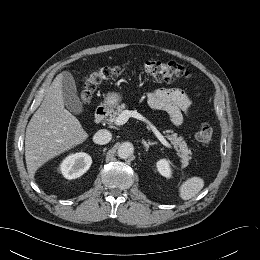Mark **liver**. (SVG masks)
I'll list each match as a JSON object with an SVG mask.
<instances>
[{
	"label": "liver",
	"mask_w": 260,
	"mask_h": 260,
	"mask_svg": "<svg viewBox=\"0 0 260 260\" xmlns=\"http://www.w3.org/2000/svg\"><path fill=\"white\" fill-rule=\"evenodd\" d=\"M62 78L60 73L53 80L26 128L25 159L31 179L48 160L88 138L79 120L64 107Z\"/></svg>",
	"instance_id": "obj_1"
}]
</instances>
